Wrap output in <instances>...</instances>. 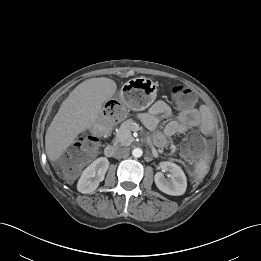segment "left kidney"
Listing matches in <instances>:
<instances>
[{
    "label": "left kidney",
    "instance_id": "1",
    "mask_svg": "<svg viewBox=\"0 0 261 261\" xmlns=\"http://www.w3.org/2000/svg\"><path fill=\"white\" fill-rule=\"evenodd\" d=\"M159 166L162 172L170 173V178L166 179L162 172H157L154 176L157 188L168 195H183L187 188V179L181 167L172 162H161Z\"/></svg>",
    "mask_w": 261,
    "mask_h": 261
}]
</instances>
